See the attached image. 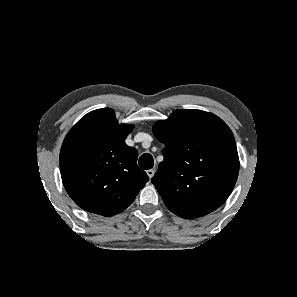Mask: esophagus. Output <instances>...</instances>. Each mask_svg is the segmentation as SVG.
<instances>
[{
    "mask_svg": "<svg viewBox=\"0 0 297 297\" xmlns=\"http://www.w3.org/2000/svg\"><path fill=\"white\" fill-rule=\"evenodd\" d=\"M154 173H155V171L153 169L147 170V175L150 179L153 177Z\"/></svg>",
    "mask_w": 297,
    "mask_h": 297,
    "instance_id": "34e87169",
    "label": "esophagus"
}]
</instances>
